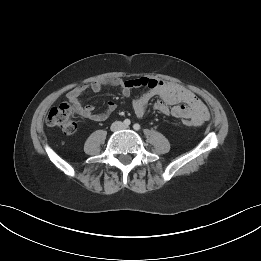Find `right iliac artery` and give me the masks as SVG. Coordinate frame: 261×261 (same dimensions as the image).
Masks as SVG:
<instances>
[{
	"label": "right iliac artery",
	"instance_id": "obj_1",
	"mask_svg": "<svg viewBox=\"0 0 261 261\" xmlns=\"http://www.w3.org/2000/svg\"><path fill=\"white\" fill-rule=\"evenodd\" d=\"M123 123L125 126H129L131 124V121L129 119H125Z\"/></svg>",
	"mask_w": 261,
	"mask_h": 261
}]
</instances>
